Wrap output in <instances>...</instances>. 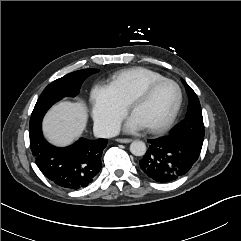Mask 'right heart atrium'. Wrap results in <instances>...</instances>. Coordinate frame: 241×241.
Masks as SVG:
<instances>
[{"label": "right heart atrium", "instance_id": "obj_1", "mask_svg": "<svg viewBox=\"0 0 241 241\" xmlns=\"http://www.w3.org/2000/svg\"><path fill=\"white\" fill-rule=\"evenodd\" d=\"M91 101L96 128L104 135H112L126 115L127 105L107 84H98L93 88Z\"/></svg>", "mask_w": 241, "mask_h": 241}]
</instances>
